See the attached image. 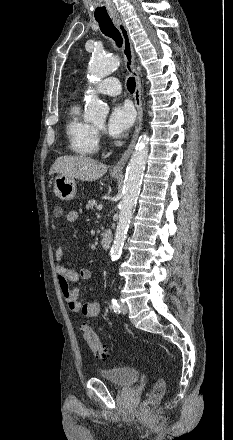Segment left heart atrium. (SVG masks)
Instances as JSON below:
<instances>
[{
    "label": "left heart atrium",
    "instance_id": "obj_1",
    "mask_svg": "<svg viewBox=\"0 0 233 440\" xmlns=\"http://www.w3.org/2000/svg\"><path fill=\"white\" fill-rule=\"evenodd\" d=\"M134 122V111L127 104H115L110 112L107 131L113 137H121L127 133Z\"/></svg>",
    "mask_w": 233,
    "mask_h": 440
}]
</instances>
